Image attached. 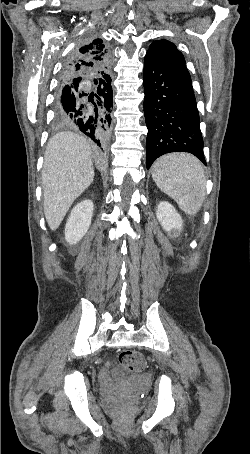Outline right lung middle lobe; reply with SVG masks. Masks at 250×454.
<instances>
[{
  "label": "right lung middle lobe",
  "mask_w": 250,
  "mask_h": 454,
  "mask_svg": "<svg viewBox=\"0 0 250 454\" xmlns=\"http://www.w3.org/2000/svg\"><path fill=\"white\" fill-rule=\"evenodd\" d=\"M55 121H56L57 124H59L58 121H57V119H56V117H55Z\"/></svg>",
  "instance_id": "obj_1"
}]
</instances>
